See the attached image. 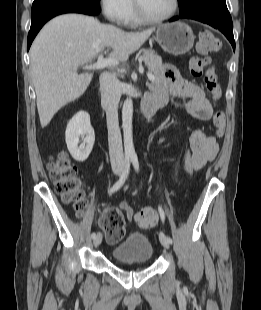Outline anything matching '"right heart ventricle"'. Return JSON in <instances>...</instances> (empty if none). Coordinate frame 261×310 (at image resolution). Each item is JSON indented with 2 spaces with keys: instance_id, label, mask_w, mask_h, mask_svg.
Returning a JSON list of instances; mask_svg holds the SVG:
<instances>
[{
  "instance_id": "obj_1",
  "label": "right heart ventricle",
  "mask_w": 261,
  "mask_h": 310,
  "mask_svg": "<svg viewBox=\"0 0 261 310\" xmlns=\"http://www.w3.org/2000/svg\"><path fill=\"white\" fill-rule=\"evenodd\" d=\"M126 25L128 26H137L140 24V21L137 19L134 8L131 11L130 15L128 16L127 20L125 21Z\"/></svg>"
}]
</instances>
